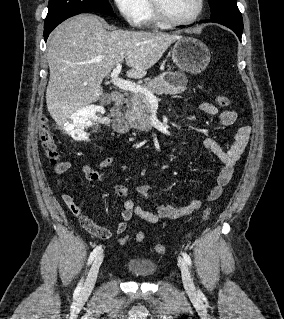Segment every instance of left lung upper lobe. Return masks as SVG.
<instances>
[{"label": "left lung upper lobe", "instance_id": "left-lung-upper-lobe-1", "mask_svg": "<svg viewBox=\"0 0 284 319\" xmlns=\"http://www.w3.org/2000/svg\"><path fill=\"white\" fill-rule=\"evenodd\" d=\"M212 19H229L243 22L236 0H208Z\"/></svg>", "mask_w": 284, "mask_h": 319}]
</instances>
